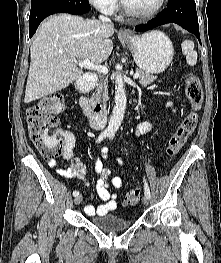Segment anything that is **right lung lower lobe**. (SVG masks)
Returning a JSON list of instances; mask_svg holds the SVG:
<instances>
[{"label": "right lung lower lobe", "mask_w": 221, "mask_h": 263, "mask_svg": "<svg viewBox=\"0 0 221 263\" xmlns=\"http://www.w3.org/2000/svg\"><path fill=\"white\" fill-rule=\"evenodd\" d=\"M91 10L88 0H46L31 6L29 37L36 32L40 22L55 13L83 14Z\"/></svg>", "instance_id": "98d812e1"}]
</instances>
